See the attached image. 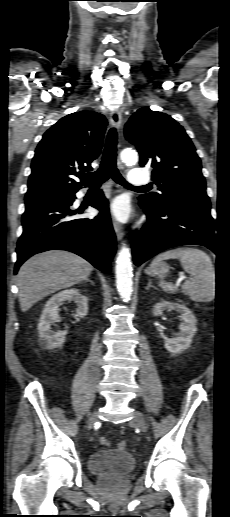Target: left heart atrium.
Returning <instances> with one entry per match:
<instances>
[{
  "mask_svg": "<svg viewBox=\"0 0 230 517\" xmlns=\"http://www.w3.org/2000/svg\"><path fill=\"white\" fill-rule=\"evenodd\" d=\"M112 212L120 220L127 219L130 213L128 202L123 198H117L112 204Z\"/></svg>",
  "mask_w": 230,
  "mask_h": 517,
  "instance_id": "1",
  "label": "left heart atrium"
}]
</instances>
